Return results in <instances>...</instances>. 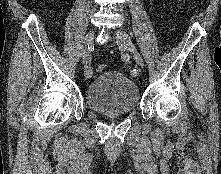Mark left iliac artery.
Returning a JSON list of instances; mask_svg holds the SVG:
<instances>
[{
	"label": "left iliac artery",
	"instance_id": "obj_1",
	"mask_svg": "<svg viewBox=\"0 0 221 174\" xmlns=\"http://www.w3.org/2000/svg\"><path fill=\"white\" fill-rule=\"evenodd\" d=\"M121 59L123 62L128 63L130 61V55L128 53H122ZM131 73L132 75H137L138 71L134 69Z\"/></svg>",
	"mask_w": 221,
	"mask_h": 174
}]
</instances>
